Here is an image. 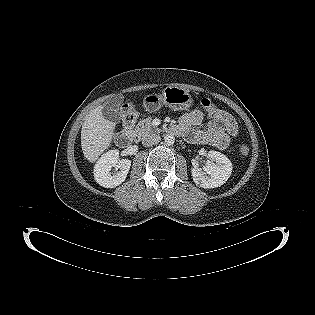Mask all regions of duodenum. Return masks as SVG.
Returning <instances> with one entry per match:
<instances>
[{
	"label": "duodenum",
	"instance_id": "410a0bca",
	"mask_svg": "<svg viewBox=\"0 0 315 315\" xmlns=\"http://www.w3.org/2000/svg\"><path fill=\"white\" fill-rule=\"evenodd\" d=\"M135 122L136 118L131 120L123 118V129L115 136V142L119 147L124 148L131 143ZM169 130L172 134H179L178 130L174 126H172Z\"/></svg>",
	"mask_w": 315,
	"mask_h": 315
}]
</instances>
